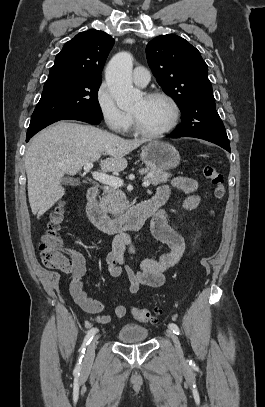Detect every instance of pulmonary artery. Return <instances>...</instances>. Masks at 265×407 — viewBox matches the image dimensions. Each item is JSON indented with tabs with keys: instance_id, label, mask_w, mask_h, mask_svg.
<instances>
[{
	"instance_id": "pulmonary-artery-1",
	"label": "pulmonary artery",
	"mask_w": 265,
	"mask_h": 407,
	"mask_svg": "<svg viewBox=\"0 0 265 407\" xmlns=\"http://www.w3.org/2000/svg\"><path fill=\"white\" fill-rule=\"evenodd\" d=\"M132 78L136 85L144 87L150 81V72L145 67L138 66L133 70Z\"/></svg>"
}]
</instances>
